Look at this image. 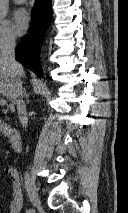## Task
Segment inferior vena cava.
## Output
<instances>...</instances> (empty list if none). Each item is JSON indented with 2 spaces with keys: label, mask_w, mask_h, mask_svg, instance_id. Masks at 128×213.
<instances>
[{
  "label": "inferior vena cava",
  "mask_w": 128,
  "mask_h": 213,
  "mask_svg": "<svg viewBox=\"0 0 128 213\" xmlns=\"http://www.w3.org/2000/svg\"><path fill=\"white\" fill-rule=\"evenodd\" d=\"M15 46V37L12 35L6 36L1 46V58L9 67L10 74L14 78V83L11 90V97L13 102L17 106L18 117L21 124L23 125V127H26L28 118L26 113V105L23 100V88L21 82L23 68L15 60Z\"/></svg>",
  "instance_id": "inferior-vena-cava-1"
}]
</instances>
